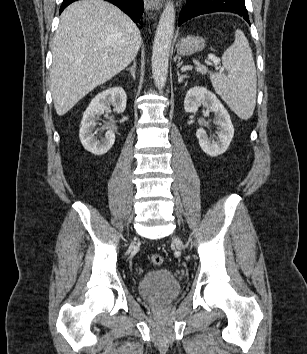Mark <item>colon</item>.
Listing matches in <instances>:
<instances>
[{
    "mask_svg": "<svg viewBox=\"0 0 307 354\" xmlns=\"http://www.w3.org/2000/svg\"><path fill=\"white\" fill-rule=\"evenodd\" d=\"M151 262H152V264L155 265V266H160V265L163 264L164 258H163V256L160 255V254H153V255L151 256Z\"/></svg>",
    "mask_w": 307,
    "mask_h": 354,
    "instance_id": "5ec220e1",
    "label": "colon"
}]
</instances>
